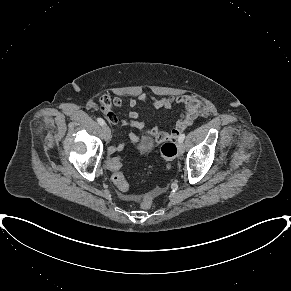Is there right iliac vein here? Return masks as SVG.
<instances>
[{"label":"right iliac vein","mask_w":291,"mask_h":291,"mask_svg":"<svg viewBox=\"0 0 291 291\" xmlns=\"http://www.w3.org/2000/svg\"><path fill=\"white\" fill-rule=\"evenodd\" d=\"M103 134H104V139L109 140L111 137V130L107 125H103Z\"/></svg>","instance_id":"right-iliac-vein-1"}]
</instances>
